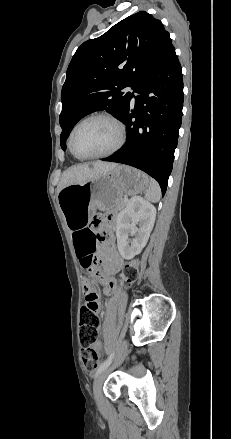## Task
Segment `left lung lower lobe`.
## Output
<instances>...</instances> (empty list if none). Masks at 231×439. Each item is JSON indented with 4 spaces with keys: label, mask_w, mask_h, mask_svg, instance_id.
<instances>
[{
    "label": "left lung lower lobe",
    "mask_w": 231,
    "mask_h": 439,
    "mask_svg": "<svg viewBox=\"0 0 231 439\" xmlns=\"http://www.w3.org/2000/svg\"><path fill=\"white\" fill-rule=\"evenodd\" d=\"M134 91L139 95L134 104L129 102L120 118L127 128V141L121 149L102 160L146 172L157 180L164 195L172 171L183 108L182 71L173 46L138 81Z\"/></svg>",
    "instance_id": "1"
}]
</instances>
